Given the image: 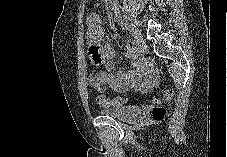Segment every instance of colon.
Masks as SVG:
<instances>
[{
	"instance_id": "1",
	"label": "colon",
	"mask_w": 227,
	"mask_h": 157,
	"mask_svg": "<svg viewBox=\"0 0 227 157\" xmlns=\"http://www.w3.org/2000/svg\"><path fill=\"white\" fill-rule=\"evenodd\" d=\"M93 63L99 64L101 62H93ZM89 80L94 87L99 86V79L97 76V72L92 73L89 77ZM98 90H101V89H98ZM173 95H174V90L168 89L163 93V95L160 98H154L152 100V104H153L152 117L155 120H162L165 117L166 109L162 104L170 101L173 98ZM125 102H126V98L124 97H115L111 99L105 94H99L97 96V103L100 106H104V107H109V106L118 107V106H122Z\"/></svg>"
}]
</instances>
